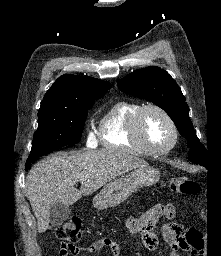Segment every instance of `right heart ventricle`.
Here are the masks:
<instances>
[{
    "label": "right heart ventricle",
    "instance_id": "e07e8e85",
    "mask_svg": "<svg viewBox=\"0 0 221 256\" xmlns=\"http://www.w3.org/2000/svg\"><path fill=\"white\" fill-rule=\"evenodd\" d=\"M140 107L138 102L129 100L116 101L109 106L99 121V140L104 148L135 155L147 154L129 133L132 117Z\"/></svg>",
    "mask_w": 221,
    "mask_h": 256
}]
</instances>
